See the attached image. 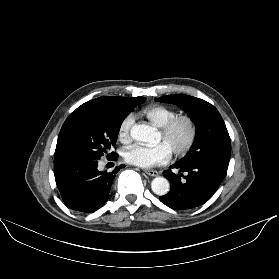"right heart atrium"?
Instances as JSON below:
<instances>
[{
    "label": "right heart atrium",
    "instance_id": "1",
    "mask_svg": "<svg viewBox=\"0 0 279 279\" xmlns=\"http://www.w3.org/2000/svg\"><path fill=\"white\" fill-rule=\"evenodd\" d=\"M134 125V116L132 114L125 115L118 126V138L122 142H128L131 138V130Z\"/></svg>",
    "mask_w": 279,
    "mask_h": 279
}]
</instances>
